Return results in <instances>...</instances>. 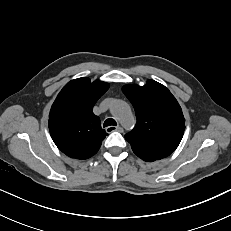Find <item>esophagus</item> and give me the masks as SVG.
Returning <instances> with one entry per match:
<instances>
[{"instance_id":"obj_1","label":"esophagus","mask_w":231,"mask_h":231,"mask_svg":"<svg viewBox=\"0 0 231 231\" xmlns=\"http://www.w3.org/2000/svg\"><path fill=\"white\" fill-rule=\"evenodd\" d=\"M106 131H107L108 133H111V132H114V131L122 132V131H123V128L120 127V126H116V127H114V126H109V127L106 128Z\"/></svg>"}]
</instances>
